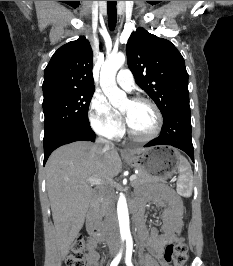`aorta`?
<instances>
[{
	"label": "aorta",
	"mask_w": 233,
	"mask_h": 266,
	"mask_svg": "<svg viewBox=\"0 0 233 266\" xmlns=\"http://www.w3.org/2000/svg\"><path fill=\"white\" fill-rule=\"evenodd\" d=\"M125 55L117 53L106 58L100 72V86L110 103L118 107L125 100L126 94L117 87L116 74L125 62ZM117 214L120 227V234L123 239L131 236L129 226V214L127 201L123 194L120 195L117 203Z\"/></svg>",
	"instance_id": "1"
}]
</instances>
